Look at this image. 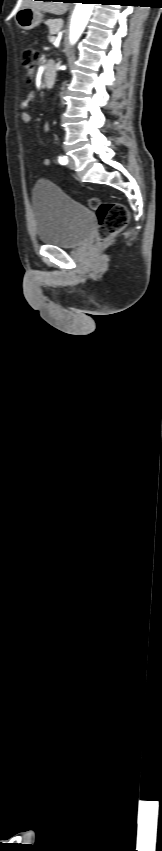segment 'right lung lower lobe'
<instances>
[{
	"instance_id": "1",
	"label": "right lung lower lobe",
	"mask_w": 162,
	"mask_h": 851,
	"mask_svg": "<svg viewBox=\"0 0 162 851\" xmlns=\"http://www.w3.org/2000/svg\"><path fill=\"white\" fill-rule=\"evenodd\" d=\"M44 1H55V0H44ZM64 2H72L73 0H63Z\"/></svg>"
}]
</instances>
